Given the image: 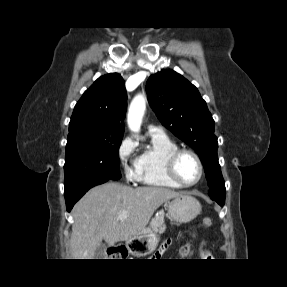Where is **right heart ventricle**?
Returning <instances> with one entry per match:
<instances>
[{"label":"right heart ventricle","instance_id":"1","mask_svg":"<svg viewBox=\"0 0 287 287\" xmlns=\"http://www.w3.org/2000/svg\"><path fill=\"white\" fill-rule=\"evenodd\" d=\"M150 135V145L136 161L138 180L145 185L165 188L180 186L168 175L166 160L168 155L178 149V145L167 135Z\"/></svg>","mask_w":287,"mask_h":287}]
</instances>
